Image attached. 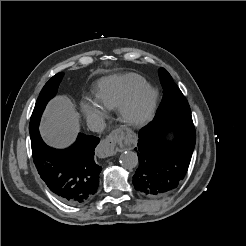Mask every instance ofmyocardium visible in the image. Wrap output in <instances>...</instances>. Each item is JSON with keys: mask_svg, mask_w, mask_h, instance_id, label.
<instances>
[{"mask_svg": "<svg viewBox=\"0 0 246 246\" xmlns=\"http://www.w3.org/2000/svg\"><path fill=\"white\" fill-rule=\"evenodd\" d=\"M143 102L144 107L136 112L138 103ZM158 102V92L146 85L131 94L119 107L118 115L122 123L130 127H141L147 124L154 116Z\"/></svg>", "mask_w": 246, "mask_h": 246, "instance_id": "1", "label": "myocardium"}]
</instances>
